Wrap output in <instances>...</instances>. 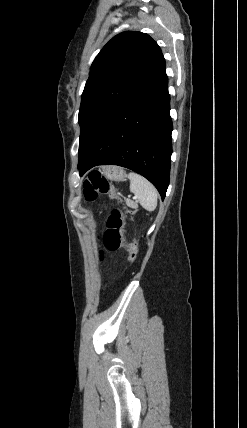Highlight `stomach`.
<instances>
[{
	"instance_id": "stomach-1",
	"label": "stomach",
	"mask_w": 247,
	"mask_h": 428,
	"mask_svg": "<svg viewBox=\"0 0 247 428\" xmlns=\"http://www.w3.org/2000/svg\"><path fill=\"white\" fill-rule=\"evenodd\" d=\"M103 175L110 180H114V181H121L126 177V173L125 171L117 166H109L107 167L104 172Z\"/></svg>"
}]
</instances>
